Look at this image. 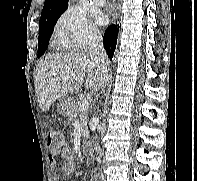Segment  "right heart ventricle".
<instances>
[{"label": "right heart ventricle", "instance_id": "1", "mask_svg": "<svg viewBox=\"0 0 197 181\" xmlns=\"http://www.w3.org/2000/svg\"><path fill=\"white\" fill-rule=\"evenodd\" d=\"M65 47H67L66 43L59 38L58 36L56 37V48L57 49H64Z\"/></svg>", "mask_w": 197, "mask_h": 181}]
</instances>
